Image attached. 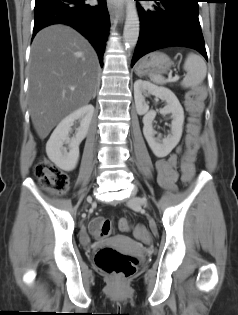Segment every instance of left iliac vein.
<instances>
[{"instance_id": "left-iliac-vein-1", "label": "left iliac vein", "mask_w": 238, "mask_h": 315, "mask_svg": "<svg viewBox=\"0 0 238 315\" xmlns=\"http://www.w3.org/2000/svg\"><path fill=\"white\" fill-rule=\"evenodd\" d=\"M128 205L131 207L147 206V200L137 196H131L128 200Z\"/></svg>"}]
</instances>
